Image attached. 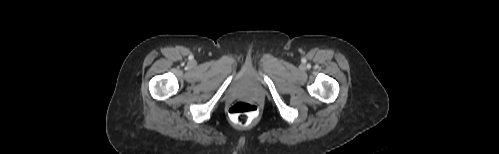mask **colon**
<instances>
[{
    "instance_id": "obj_1",
    "label": "colon",
    "mask_w": 499,
    "mask_h": 154,
    "mask_svg": "<svg viewBox=\"0 0 499 154\" xmlns=\"http://www.w3.org/2000/svg\"><path fill=\"white\" fill-rule=\"evenodd\" d=\"M258 115L257 106L249 100H239L229 109V117L237 125L246 126Z\"/></svg>"
}]
</instances>
